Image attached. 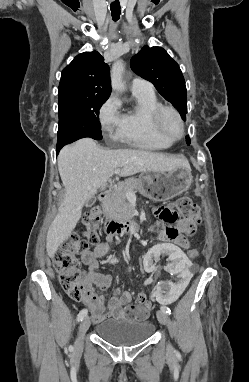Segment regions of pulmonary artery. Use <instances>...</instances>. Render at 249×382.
Listing matches in <instances>:
<instances>
[{
  "mask_svg": "<svg viewBox=\"0 0 249 382\" xmlns=\"http://www.w3.org/2000/svg\"><path fill=\"white\" fill-rule=\"evenodd\" d=\"M131 91L132 92H145V93H153L154 87L153 85L141 78H134L131 82Z\"/></svg>",
  "mask_w": 249,
  "mask_h": 382,
  "instance_id": "1",
  "label": "pulmonary artery"
}]
</instances>
